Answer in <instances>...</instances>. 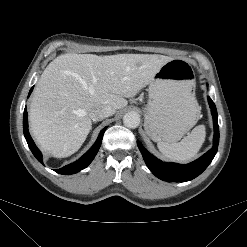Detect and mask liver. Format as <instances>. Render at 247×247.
Masks as SVG:
<instances>
[{
    "label": "liver",
    "instance_id": "liver-1",
    "mask_svg": "<svg viewBox=\"0 0 247 247\" xmlns=\"http://www.w3.org/2000/svg\"><path fill=\"white\" fill-rule=\"evenodd\" d=\"M173 58L152 54H64L43 71L30 104V130L40 149L57 158L74 154L99 106L124 108Z\"/></svg>",
    "mask_w": 247,
    "mask_h": 247
}]
</instances>
